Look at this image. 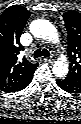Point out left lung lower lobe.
I'll return each mask as SVG.
<instances>
[{"label":"left lung lower lobe","instance_id":"obj_1","mask_svg":"<svg viewBox=\"0 0 81 124\" xmlns=\"http://www.w3.org/2000/svg\"><path fill=\"white\" fill-rule=\"evenodd\" d=\"M56 83L61 89L74 95L81 92V85H78L67 78L57 79Z\"/></svg>","mask_w":81,"mask_h":124}]
</instances>
